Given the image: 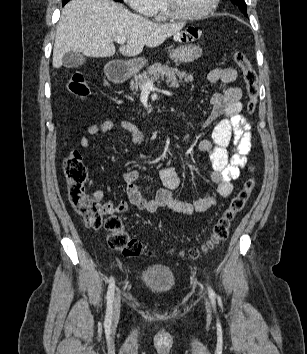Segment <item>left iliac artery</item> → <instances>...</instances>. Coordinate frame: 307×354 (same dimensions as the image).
<instances>
[{
  "instance_id": "obj_1",
  "label": "left iliac artery",
  "mask_w": 307,
  "mask_h": 354,
  "mask_svg": "<svg viewBox=\"0 0 307 354\" xmlns=\"http://www.w3.org/2000/svg\"><path fill=\"white\" fill-rule=\"evenodd\" d=\"M208 292H209V297L211 299V302L214 305L215 304L216 294H215V292L213 291V289L210 286H208Z\"/></svg>"
}]
</instances>
